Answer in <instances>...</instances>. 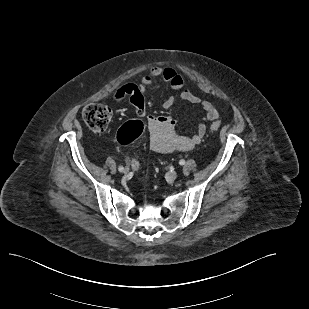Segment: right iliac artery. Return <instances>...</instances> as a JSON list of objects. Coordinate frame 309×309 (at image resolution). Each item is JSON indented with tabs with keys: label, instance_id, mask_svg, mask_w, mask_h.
I'll use <instances>...</instances> for the list:
<instances>
[{
	"label": "right iliac artery",
	"instance_id": "obj_1",
	"mask_svg": "<svg viewBox=\"0 0 309 309\" xmlns=\"http://www.w3.org/2000/svg\"><path fill=\"white\" fill-rule=\"evenodd\" d=\"M118 170H119L120 172H122V171L124 170L123 166H119V167H118Z\"/></svg>",
	"mask_w": 309,
	"mask_h": 309
}]
</instances>
